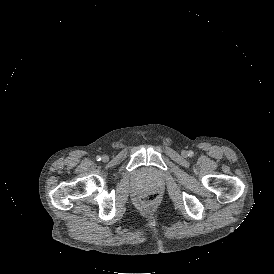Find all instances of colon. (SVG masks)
I'll return each mask as SVG.
<instances>
[{
  "label": "colon",
  "mask_w": 274,
  "mask_h": 274,
  "mask_svg": "<svg viewBox=\"0 0 274 274\" xmlns=\"http://www.w3.org/2000/svg\"><path fill=\"white\" fill-rule=\"evenodd\" d=\"M159 194L156 191H149L148 193H142L139 196V199L136 201V204L140 207H155L159 201Z\"/></svg>",
  "instance_id": "obj_1"
}]
</instances>
